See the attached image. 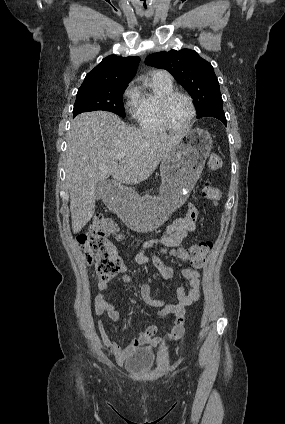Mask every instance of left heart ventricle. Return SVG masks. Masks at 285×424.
Returning a JSON list of instances; mask_svg holds the SVG:
<instances>
[{"mask_svg":"<svg viewBox=\"0 0 285 424\" xmlns=\"http://www.w3.org/2000/svg\"><path fill=\"white\" fill-rule=\"evenodd\" d=\"M169 122L175 127H183L189 121L191 108L188 101L183 97H175L169 104L168 110Z\"/></svg>","mask_w":285,"mask_h":424,"instance_id":"obj_1","label":"left heart ventricle"}]
</instances>
